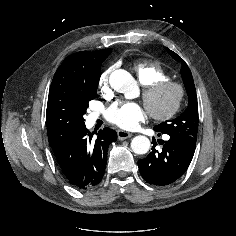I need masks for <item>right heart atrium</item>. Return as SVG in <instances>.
Wrapping results in <instances>:
<instances>
[{"mask_svg":"<svg viewBox=\"0 0 236 236\" xmlns=\"http://www.w3.org/2000/svg\"><path fill=\"white\" fill-rule=\"evenodd\" d=\"M111 70L108 69L102 75L99 79V86L102 90V92H107L109 89V78H110Z\"/></svg>","mask_w":236,"mask_h":236,"instance_id":"obj_1","label":"right heart atrium"}]
</instances>
